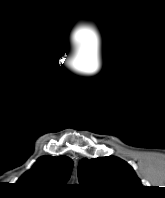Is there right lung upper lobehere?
I'll return each mask as SVG.
<instances>
[{
  "label": "right lung upper lobe",
  "instance_id": "cb5924a9",
  "mask_svg": "<svg viewBox=\"0 0 165 198\" xmlns=\"http://www.w3.org/2000/svg\"><path fill=\"white\" fill-rule=\"evenodd\" d=\"M72 167L73 161L67 156H44L18 182L32 189L51 190L67 182Z\"/></svg>",
  "mask_w": 165,
  "mask_h": 198
}]
</instances>
